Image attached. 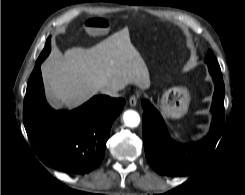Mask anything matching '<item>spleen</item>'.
<instances>
[{
    "mask_svg": "<svg viewBox=\"0 0 245 195\" xmlns=\"http://www.w3.org/2000/svg\"><path fill=\"white\" fill-rule=\"evenodd\" d=\"M175 135H176V136H179V135H180V133H179V132H175Z\"/></svg>",
    "mask_w": 245,
    "mask_h": 195,
    "instance_id": "3e777b00",
    "label": "spleen"
}]
</instances>
